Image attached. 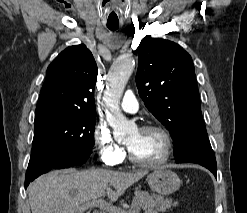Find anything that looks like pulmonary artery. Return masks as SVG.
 <instances>
[{"instance_id": "e3ab8cb5", "label": "pulmonary artery", "mask_w": 247, "mask_h": 213, "mask_svg": "<svg viewBox=\"0 0 247 213\" xmlns=\"http://www.w3.org/2000/svg\"><path fill=\"white\" fill-rule=\"evenodd\" d=\"M121 108L129 113H135L138 111L139 105L137 102V99L135 98L133 92L131 90H128L121 102Z\"/></svg>"}]
</instances>
